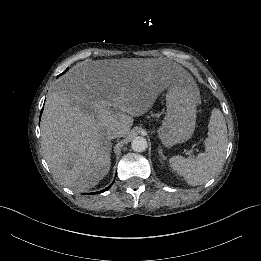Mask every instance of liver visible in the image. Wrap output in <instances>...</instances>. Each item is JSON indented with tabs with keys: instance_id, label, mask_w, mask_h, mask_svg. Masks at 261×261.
<instances>
[{
	"instance_id": "obj_1",
	"label": "liver",
	"mask_w": 261,
	"mask_h": 261,
	"mask_svg": "<svg viewBox=\"0 0 261 261\" xmlns=\"http://www.w3.org/2000/svg\"><path fill=\"white\" fill-rule=\"evenodd\" d=\"M173 85L195 86L183 69L161 76L157 65L94 61L71 68L49 92L40 124L53 177L78 192L95 187L111 166L108 132L116 128L126 137L133 117L145 114Z\"/></svg>"
}]
</instances>
